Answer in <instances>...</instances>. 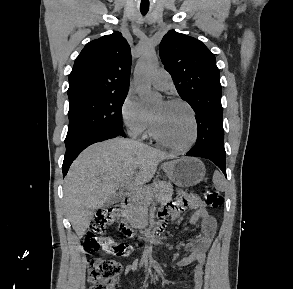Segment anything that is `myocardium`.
<instances>
[{
  "instance_id": "myocardium-1",
  "label": "myocardium",
  "mask_w": 293,
  "mask_h": 289,
  "mask_svg": "<svg viewBox=\"0 0 293 289\" xmlns=\"http://www.w3.org/2000/svg\"><path fill=\"white\" fill-rule=\"evenodd\" d=\"M167 103L183 105L190 112V115L192 118V123H193V134H192L191 140L186 145H183V146L174 145L172 143L165 141L159 135L156 123L153 118L151 119V135L156 140V142H158L160 145H162L166 148H169L174 151H179V152L189 151L196 145V143L198 141V137H199V125H198V120H197L195 110L188 102H186L182 99L173 98V99L168 100Z\"/></svg>"
}]
</instances>
